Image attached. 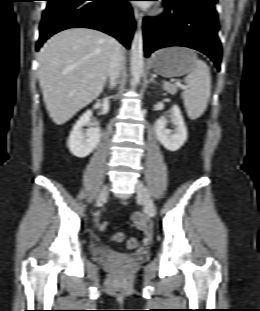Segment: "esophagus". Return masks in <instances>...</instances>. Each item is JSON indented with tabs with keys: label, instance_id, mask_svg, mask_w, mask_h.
Listing matches in <instances>:
<instances>
[{
	"label": "esophagus",
	"instance_id": "1",
	"mask_svg": "<svg viewBox=\"0 0 260 311\" xmlns=\"http://www.w3.org/2000/svg\"><path fill=\"white\" fill-rule=\"evenodd\" d=\"M133 13L136 21L138 22V26H141L143 14L140 12V10L136 7L133 8Z\"/></svg>",
	"mask_w": 260,
	"mask_h": 311
}]
</instances>
